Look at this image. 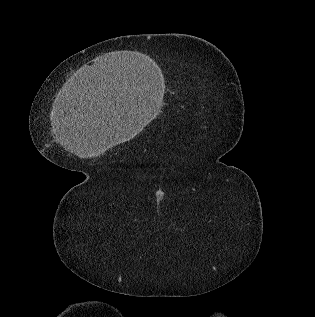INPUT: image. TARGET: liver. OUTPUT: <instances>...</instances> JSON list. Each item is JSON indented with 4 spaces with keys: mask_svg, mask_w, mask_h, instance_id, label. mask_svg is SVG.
I'll list each match as a JSON object with an SVG mask.
<instances>
[{
    "mask_svg": "<svg viewBox=\"0 0 315 317\" xmlns=\"http://www.w3.org/2000/svg\"><path fill=\"white\" fill-rule=\"evenodd\" d=\"M139 127L127 120H110L101 115L71 114L63 121L60 143L80 157L98 156L105 150L134 136Z\"/></svg>",
    "mask_w": 315,
    "mask_h": 317,
    "instance_id": "liver-1",
    "label": "liver"
}]
</instances>
